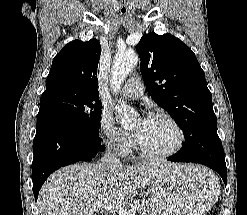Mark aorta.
I'll return each mask as SVG.
<instances>
[{
    "mask_svg": "<svg viewBox=\"0 0 247 215\" xmlns=\"http://www.w3.org/2000/svg\"><path fill=\"white\" fill-rule=\"evenodd\" d=\"M138 56L133 52L118 53L113 61L111 69V87L114 93L120 89V85L126 79L129 72L137 65ZM114 110L121 118V125L128 127L136 118L137 113L128 105L118 102L114 105Z\"/></svg>",
    "mask_w": 247,
    "mask_h": 215,
    "instance_id": "aorta-1",
    "label": "aorta"
}]
</instances>
